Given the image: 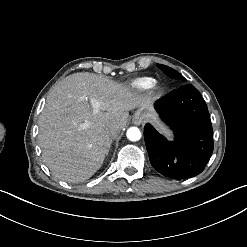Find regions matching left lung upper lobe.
Instances as JSON below:
<instances>
[{
    "label": "left lung upper lobe",
    "instance_id": "1",
    "mask_svg": "<svg viewBox=\"0 0 247 247\" xmlns=\"http://www.w3.org/2000/svg\"><path fill=\"white\" fill-rule=\"evenodd\" d=\"M157 67L167 76L172 77L174 79L185 80V78L176 70L162 64H156Z\"/></svg>",
    "mask_w": 247,
    "mask_h": 247
}]
</instances>
